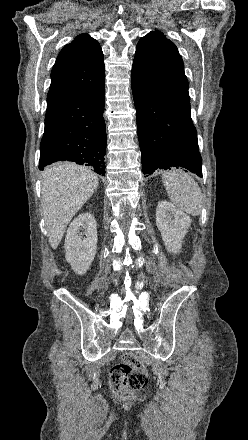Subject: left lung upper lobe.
I'll return each mask as SVG.
<instances>
[{
    "label": "left lung upper lobe",
    "mask_w": 248,
    "mask_h": 440,
    "mask_svg": "<svg viewBox=\"0 0 248 440\" xmlns=\"http://www.w3.org/2000/svg\"><path fill=\"white\" fill-rule=\"evenodd\" d=\"M132 72L146 85L190 109L182 58L177 47L162 32H150L139 40Z\"/></svg>",
    "instance_id": "5c2ea615"
}]
</instances>
